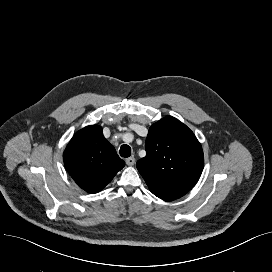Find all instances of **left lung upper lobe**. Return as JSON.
Here are the masks:
<instances>
[{"label": "left lung upper lobe", "instance_id": "left-lung-upper-lobe-1", "mask_svg": "<svg viewBox=\"0 0 272 272\" xmlns=\"http://www.w3.org/2000/svg\"><path fill=\"white\" fill-rule=\"evenodd\" d=\"M145 149L136 166L152 193L180 198L198 181L204 166L201 144L176 118L167 116L151 125Z\"/></svg>", "mask_w": 272, "mask_h": 272}]
</instances>
